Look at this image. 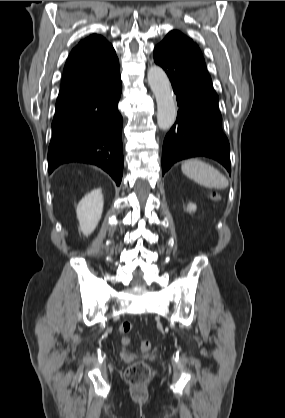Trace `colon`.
I'll use <instances>...</instances> for the list:
<instances>
[{
  "mask_svg": "<svg viewBox=\"0 0 285 418\" xmlns=\"http://www.w3.org/2000/svg\"><path fill=\"white\" fill-rule=\"evenodd\" d=\"M133 329V325L129 321H123L118 327V331L122 335L130 333ZM130 342L128 337L122 339V343L127 345ZM139 349L142 352H147L150 349V343L147 340H142L139 343ZM151 367L145 361H136L129 366L124 373L126 382L132 386L142 385L146 383L151 377Z\"/></svg>",
  "mask_w": 285,
  "mask_h": 418,
  "instance_id": "colon-1",
  "label": "colon"
}]
</instances>
